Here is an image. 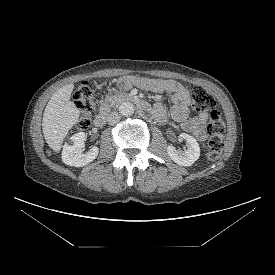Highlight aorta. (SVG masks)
<instances>
[{
	"mask_svg": "<svg viewBox=\"0 0 275 275\" xmlns=\"http://www.w3.org/2000/svg\"><path fill=\"white\" fill-rule=\"evenodd\" d=\"M134 105L130 102H123L119 107L122 116H131L134 113Z\"/></svg>",
	"mask_w": 275,
	"mask_h": 275,
	"instance_id": "aorta-1",
	"label": "aorta"
}]
</instances>
